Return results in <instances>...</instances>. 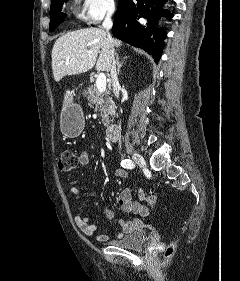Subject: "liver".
<instances>
[{"mask_svg":"<svg viewBox=\"0 0 240 281\" xmlns=\"http://www.w3.org/2000/svg\"><path fill=\"white\" fill-rule=\"evenodd\" d=\"M113 45L119 47L121 41L113 39ZM95 64L98 72L111 69L110 42L104 30L80 29L56 40L52 49V71L56 82L67 75L85 73Z\"/></svg>","mask_w":240,"mask_h":281,"instance_id":"obj_1","label":"liver"}]
</instances>
